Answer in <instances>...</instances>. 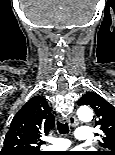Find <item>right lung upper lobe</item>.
I'll return each mask as SVG.
<instances>
[{"label":"right lung upper lobe","mask_w":115,"mask_h":155,"mask_svg":"<svg viewBox=\"0 0 115 155\" xmlns=\"http://www.w3.org/2000/svg\"><path fill=\"white\" fill-rule=\"evenodd\" d=\"M55 126L54 115L41 96L32 97L14 116L0 155H44L42 133Z\"/></svg>","instance_id":"obj_1"}]
</instances>
